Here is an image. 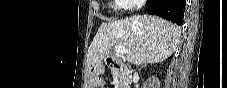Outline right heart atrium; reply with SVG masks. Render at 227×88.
I'll return each instance as SVG.
<instances>
[{"instance_id": "obj_1", "label": "right heart atrium", "mask_w": 227, "mask_h": 88, "mask_svg": "<svg viewBox=\"0 0 227 88\" xmlns=\"http://www.w3.org/2000/svg\"><path fill=\"white\" fill-rule=\"evenodd\" d=\"M126 11L132 12L139 10L146 3V0H119Z\"/></svg>"}]
</instances>
